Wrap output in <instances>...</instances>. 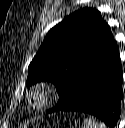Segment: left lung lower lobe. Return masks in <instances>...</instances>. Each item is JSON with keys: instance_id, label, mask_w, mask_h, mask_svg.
<instances>
[{"instance_id": "obj_1", "label": "left lung lower lobe", "mask_w": 125, "mask_h": 128, "mask_svg": "<svg viewBox=\"0 0 125 128\" xmlns=\"http://www.w3.org/2000/svg\"><path fill=\"white\" fill-rule=\"evenodd\" d=\"M122 83L121 60L115 44L88 71L73 100L55 112L88 113L113 128L121 115Z\"/></svg>"}]
</instances>
